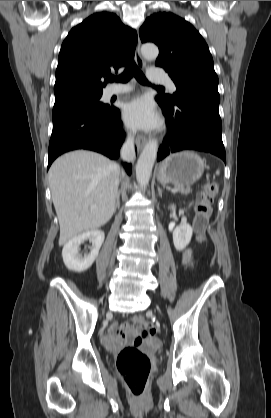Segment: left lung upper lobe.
<instances>
[{
    "instance_id": "left-lung-upper-lobe-1",
    "label": "left lung upper lobe",
    "mask_w": 271,
    "mask_h": 418,
    "mask_svg": "<svg viewBox=\"0 0 271 418\" xmlns=\"http://www.w3.org/2000/svg\"><path fill=\"white\" fill-rule=\"evenodd\" d=\"M141 41L158 45L156 65L163 67L176 85V92L157 96L173 108L183 96L220 102L218 77L209 48L199 32L173 13L159 12L149 16L139 31Z\"/></svg>"
}]
</instances>
